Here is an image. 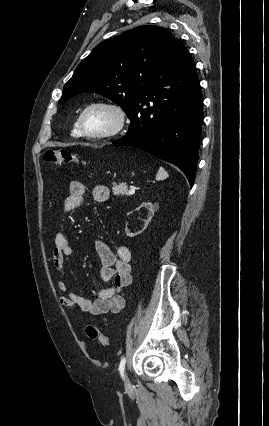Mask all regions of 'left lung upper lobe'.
Wrapping results in <instances>:
<instances>
[{"label": "left lung upper lobe", "instance_id": "obj_1", "mask_svg": "<svg viewBox=\"0 0 269 426\" xmlns=\"http://www.w3.org/2000/svg\"><path fill=\"white\" fill-rule=\"evenodd\" d=\"M175 37L159 26H140L98 44L65 84L59 103L94 92L117 103L126 114L149 88L150 78Z\"/></svg>", "mask_w": 269, "mask_h": 426}]
</instances>
